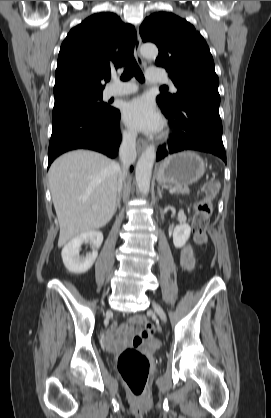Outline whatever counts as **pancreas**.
<instances>
[{"instance_id": "pancreas-1", "label": "pancreas", "mask_w": 271, "mask_h": 418, "mask_svg": "<svg viewBox=\"0 0 271 418\" xmlns=\"http://www.w3.org/2000/svg\"><path fill=\"white\" fill-rule=\"evenodd\" d=\"M173 188H175V193H180V194H189L190 193V189L188 187V185H176Z\"/></svg>"}]
</instances>
